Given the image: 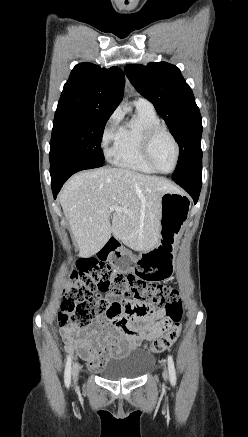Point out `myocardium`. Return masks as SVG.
Returning <instances> with one entry per match:
<instances>
[{
	"instance_id": "f54148a6",
	"label": "myocardium",
	"mask_w": 248,
	"mask_h": 437,
	"mask_svg": "<svg viewBox=\"0 0 248 437\" xmlns=\"http://www.w3.org/2000/svg\"><path fill=\"white\" fill-rule=\"evenodd\" d=\"M160 133H165L166 135H168L170 137V139L172 140L174 147H175L174 165H173L172 169L169 171L160 170L156 166V164L154 163L153 158H152V145H153L155 138ZM142 155H143L145 162L152 170H154L155 172L160 173V174H170V173L174 172L178 166L179 159H180V145H179L178 140L175 137V135L166 126H164L162 124H156V125L149 127L144 132L143 139H142Z\"/></svg>"
}]
</instances>
